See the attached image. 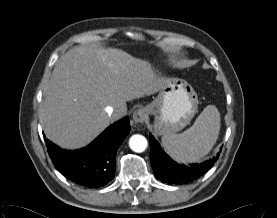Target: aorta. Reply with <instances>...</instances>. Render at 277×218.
Segmentation results:
<instances>
[{
    "instance_id": "obj_1",
    "label": "aorta",
    "mask_w": 277,
    "mask_h": 218,
    "mask_svg": "<svg viewBox=\"0 0 277 218\" xmlns=\"http://www.w3.org/2000/svg\"><path fill=\"white\" fill-rule=\"evenodd\" d=\"M129 146L134 152L141 153L147 148V140L142 135H133L129 140Z\"/></svg>"
}]
</instances>
